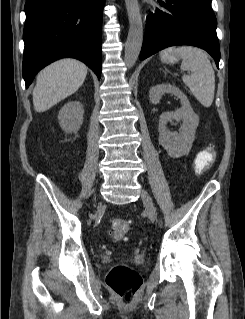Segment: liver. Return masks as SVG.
Here are the masks:
<instances>
[{"label":"liver","mask_w":245,"mask_h":319,"mask_svg":"<svg viewBox=\"0 0 245 319\" xmlns=\"http://www.w3.org/2000/svg\"><path fill=\"white\" fill-rule=\"evenodd\" d=\"M87 67L75 59L57 61L37 75L33 90V105L37 112H44L75 93L83 84Z\"/></svg>","instance_id":"6515ba94"}]
</instances>
